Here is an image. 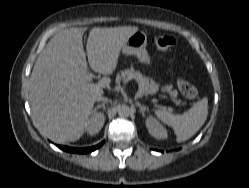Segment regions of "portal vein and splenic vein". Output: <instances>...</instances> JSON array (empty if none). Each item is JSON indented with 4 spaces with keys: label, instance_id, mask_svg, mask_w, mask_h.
Returning a JSON list of instances; mask_svg holds the SVG:
<instances>
[{
    "label": "portal vein and splenic vein",
    "instance_id": "18ae733b",
    "mask_svg": "<svg viewBox=\"0 0 249 188\" xmlns=\"http://www.w3.org/2000/svg\"><path fill=\"white\" fill-rule=\"evenodd\" d=\"M92 77H93V75L91 74V73H89L88 75H87V77H86V80L87 81H91L92 80ZM170 110H172V108H169Z\"/></svg>",
    "mask_w": 249,
    "mask_h": 188
}]
</instances>
